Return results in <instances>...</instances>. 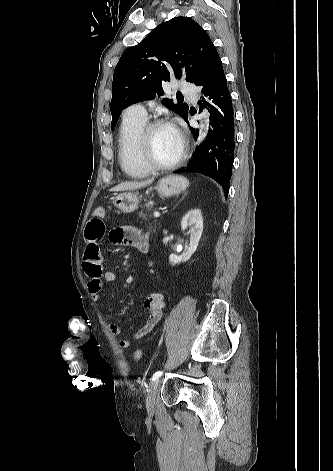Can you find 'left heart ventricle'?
<instances>
[{
  "mask_svg": "<svg viewBox=\"0 0 333 471\" xmlns=\"http://www.w3.org/2000/svg\"><path fill=\"white\" fill-rule=\"evenodd\" d=\"M181 144V137L171 126H162L151 135L152 154L161 163L172 162L179 154Z\"/></svg>",
  "mask_w": 333,
  "mask_h": 471,
  "instance_id": "obj_1",
  "label": "left heart ventricle"
}]
</instances>
